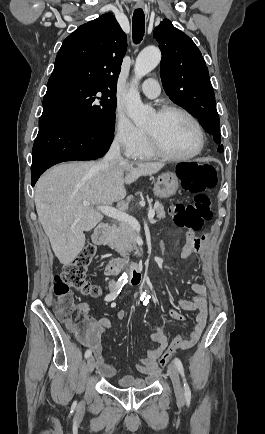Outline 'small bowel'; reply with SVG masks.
Masks as SVG:
<instances>
[{"mask_svg": "<svg viewBox=\"0 0 265 434\" xmlns=\"http://www.w3.org/2000/svg\"><path fill=\"white\" fill-rule=\"evenodd\" d=\"M203 241L204 238L198 237L193 232L189 231L186 243L180 253V259L185 261L191 256L199 254ZM188 284L194 294L188 299L178 300V306L184 311H196V314L191 332L185 337V344L181 350L190 349L196 344L203 332L208 317L207 287L195 281H189ZM75 307L79 309L83 315L81 326L77 331L78 338L84 346L93 350L94 355H101L102 337L111 326L110 320L106 317L99 319L93 318L90 315V308L85 304H79ZM169 315L171 318L178 321H185L187 319L185 314L175 309H171ZM124 316L125 312L123 310L117 312L119 319H122ZM151 339L157 343V347L147 350L145 356L141 358L137 364L138 371L148 376L135 380V385L138 387H149L150 383H154L160 376V373L157 371L156 360L166 350L168 343V338L164 334L162 324H156L155 332L151 335ZM96 361L100 364L103 360L99 357ZM120 384L123 387H129L132 381L129 378H123Z\"/></svg>", "mask_w": 265, "mask_h": 434, "instance_id": "1", "label": "small bowel"}]
</instances>
